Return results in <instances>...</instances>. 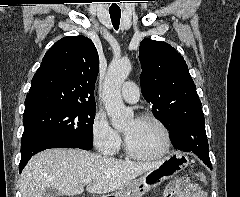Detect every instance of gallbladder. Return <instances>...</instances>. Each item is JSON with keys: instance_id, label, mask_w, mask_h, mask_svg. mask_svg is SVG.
<instances>
[{"instance_id": "bac80fb5", "label": "gallbladder", "mask_w": 240, "mask_h": 197, "mask_svg": "<svg viewBox=\"0 0 240 197\" xmlns=\"http://www.w3.org/2000/svg\"><path fill=\"white\" fill-rule=\"evenodd\" d=\"M42 197H59V193L54 188H47L44 190Z\"/></svg>"}]
</instances>
